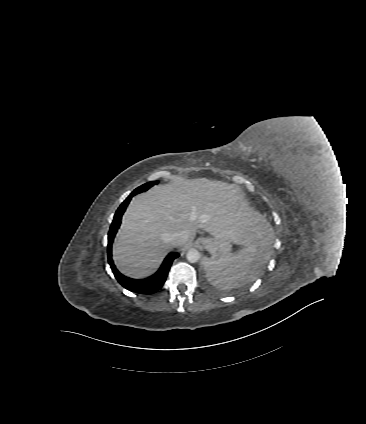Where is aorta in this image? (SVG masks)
<instances>
[{
	"label": "aorta",
	"instance_id": "aorta-1",
	"mask_svg": "<svg viewBox=\"0 0 366 424\" xmlns=\"http://www.w3.org/2000/svg\"><path fill=\"white\" fill-rule=\"evenodd\" d=\"M186 258L190 263H196L200 259V252L197 249H190L186 254Z\"/></svg>",
	"mask_w": 366,
	"mask_h": 424
}]
</instances>
